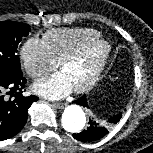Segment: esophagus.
Wrapping results in <instances>:
<instances>
[{
	"instance_id": "obj_1",
	"label": "esophagus",
	"mask_w": 153,
	"mask_h": 153,
	"mask_svg": "<svg viewBox=\"0 0 153 153\" xmlns=\"http://www.w3.org/2000/svg\"><path fill=\"white\" fill-rule=\"evenodd\" d=\"M53 106L58 109H63L66 104L65 103H53Z\"/></svg>"
}]
</instances>
